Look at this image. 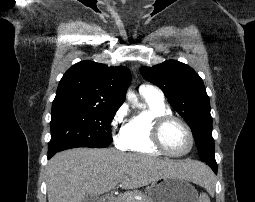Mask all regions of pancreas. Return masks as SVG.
I'll use <instances>...</instances> for the list:
<instances>
[{"label":"pancreas","mask_w":255,"mask_h":202,"mask_svg":"<svg viewBox=\"0 0 255 202\" xmlns=\"http://www.w3.org/2000/svg\"><path fill=\"white\" fill-rule=\"evenodd\" d=\"M140 196L142 197V202H150L148 197L146 196L145 193H143L142 191L140 190H133V191H128V192H125L121 195H119L115 202H139L138 200L134 199V196Z\"/></svg>","instance_id":"1"}]
</instances>
